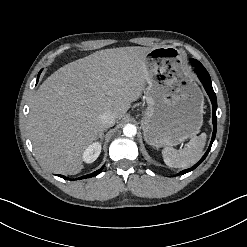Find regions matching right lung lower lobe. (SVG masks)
I'll return each instance as SVG.
<instances>
[{
	"mask_svg": "<svg viewBox=\"0 0 247 247\" xmlns=\"http://www.w3.org/2000/svg\"><path fill=\"white\" fill-rule=\"evenodd\" d=\"M40 73H41V71H40L39 74H38L37 81H38V79H39ZM103 167H104V166H102L99 170H97V171H95V172H93V173H91V174H88V175H85V176H82V177L78 178V180H79V179L90 178V177H94V176L98 175V174L102 171ZM58 176L61 177V178L70 180L69 178H67V177H65V176H63V175H58ZM73 180H74V179H73ZM76 180H77V179H76Z\"/></svg>",
	"mask_w": 247,
	"mask_h": 247,
	"instance_id": "right-lung-lower-lobe-1",
	"label": "right lung lower lobe"
}]
</instances>
